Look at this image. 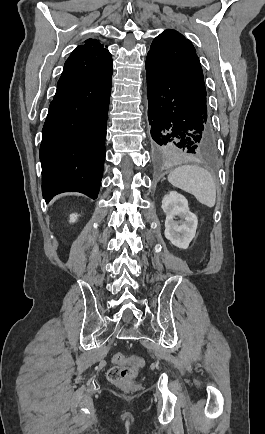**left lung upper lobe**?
I'll return each mask as SVG.
<instances>
[{
    "mask_svg": "<svg viewBox=\"0 0 265 434\" xmlns=\"http://www.w3.org/2000/svg\"><path fill=\"white\" fill-rule=\"evenodd\" d=\"M175 76L203 105L206 87L194 46L182 34L168 29L151 44L148 55Z\"/></svg>",
    "mask_w": 265,
    "mask_h": 434,
    "instance_id": "obj_1",
    "label": "left lung upper lobe"
}]
</instances>
